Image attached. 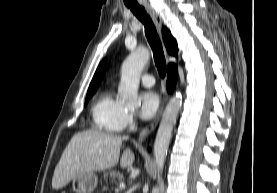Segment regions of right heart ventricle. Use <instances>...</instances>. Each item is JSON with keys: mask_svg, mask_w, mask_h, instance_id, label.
Segmentation results:
<instances>
[{"mask_svg": "<svg viewBox=\"0 0 277 193\" xmlns=\"http://www.w3.org/2000/svg\"><path fill=\"white\" fill-rule=\"evenodd\" d=\"M123 112V106L110 92H105L92 107L94 128L106 133L119 132L122 129Z\"/></svg>", "mask_w": 277, "mask_h": 193, "instance_id": "obj_1", "label": "right heart ventricle"}]
</instances>
